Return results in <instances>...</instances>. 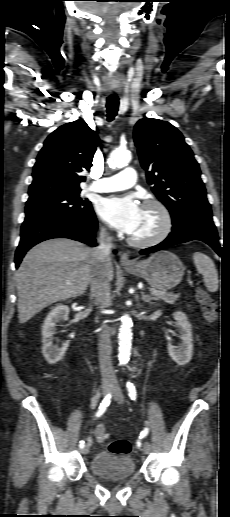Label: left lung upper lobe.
<instances>
[{"instance_id": "left-lung-upper-lobe-1", "label": "left lung upper lobe", "mask_w": 230, "mask_h": 517, "mask_svg": "<svg viewBox=\"0 0 230 517\" xmlns=\"http://www.w3.org/2000/svg\"><path fill=\"white\" fill-rule=\"evenodd\" d=\"M134 141L152 191L170 211L172 230L211 219L199 165L181 132L166 121L145 118L134 127Z\"/></svg>"}]
</instances>
